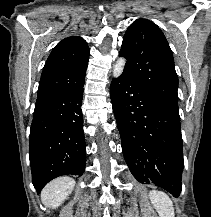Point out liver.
<instances>
[{
  "label": "liver",
  "instance_id": "liver-1",
  "mask_svg": "<svg viewBox=\"0 0 211 217\" xmlns=\"http://www.w3.org/2000/svg\"><path fill=\"white\" fill-rule=\"evenodd\" d=\"M75 181L69 177H60L48 183L41 192V200L51 209L58 208L69 196Z\"/></svg>",
  "mask_w": 211,
  "mask_h": 217
}]
</instances>
